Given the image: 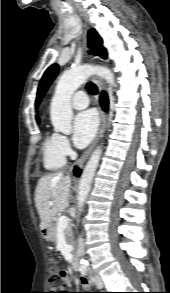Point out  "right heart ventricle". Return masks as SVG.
I'll return each mask as SVG.
<instances>
[{"label":"right heart ventricle","mask_w":170,"mask_h":293,"mask_svg":"<svg viewBox=\"0 0 170 293\" xmlns=\"http://www.w3.org/2000/svg\"><path fill=\"white\" fill-rule=\"evenodd\" d=\"M43 165L48 171H56L65 164V156L60 152L57 146V134L46 132L42 144Z\"/></svg>","instance_id":"1"}]
</instances>
